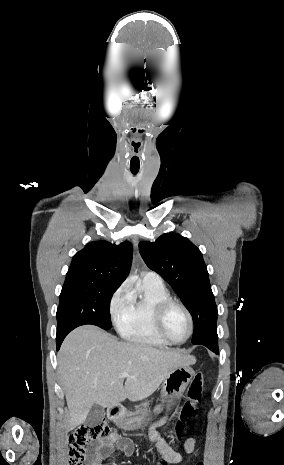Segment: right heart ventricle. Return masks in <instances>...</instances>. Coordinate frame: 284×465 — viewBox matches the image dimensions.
<instances>
[{
	"instance_id": "obj_1",
	"label": "right heart ventricle",
	"mask_w": 284,
	"mask_h": 465,
	"mask_svg": "<svg viewBox=\"0 0 284 465\" xmlns=\"http://www.w3.org/2000/svg\"><path fill=\"white\" fill-rule=\"evenodd\" d=\"M172 299L164 282H148L143 279L140 294L131 301L115 318L118 333L134 346H167L154 327L158 306Z\"/></svg>"
}]
</instances>
